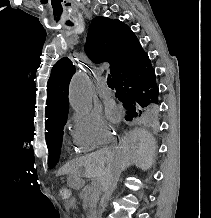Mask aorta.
<instances>
[{
  "mask_svg": "<svg viewBox=\"0 0 211 218\" xmlns=\"http://www.w3.org/2000/svg\"><path fill=\"white\" fill-rule=\"evenodd\" d=\"M69 102L77 113L85 114L92 108V96L89 83L82 72H77L70 82Z\"/></svg>",
  "mask_w": 211,
  "mask_h": 218,
  "instance_id": "1",
  "label": "aorta"
}]
</instances>
